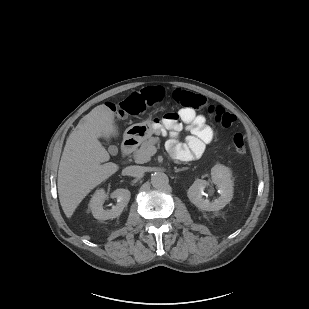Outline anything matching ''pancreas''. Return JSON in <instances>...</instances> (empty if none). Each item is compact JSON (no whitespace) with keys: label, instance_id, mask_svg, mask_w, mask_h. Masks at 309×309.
<instances>
[{"label":"pancreas","instance_id":"1","mask_svg":"<svg viewBox=\"0 0 309 309\" xmlns=\"http://www.w3.org/2000/svg\"><path fill=\"white\" fill-rule=\"evenodd\" d=\"M159 141L158 137H151L144 141L139 149L133 155L136 163L143 164L150 161L149 149L155 147L154 145Z\"/></svg>","mask_w":309,"mask_h":309}]
</instances>
